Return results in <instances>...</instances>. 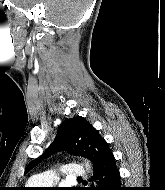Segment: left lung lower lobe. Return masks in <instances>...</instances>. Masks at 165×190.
Instances as JSON below:
<instances>
[{
    "label": "left lung lower lobe",
    "instance_id": "0a47b994",
    "mask_svg": "<svg viewBox=\"0 0 165 190\" xmlns=\"http://www.w3.org/2000/svg\"><path fill=\"white\" fill-rule=\"evenodd\" d=\"M94 178L99 187L95 190H121L120 173L115 165V158L111 153L102 161L93 166Z\"/></svg>",
    "mask_w": 165,
    "mask_h": 190
}]
</instances>
